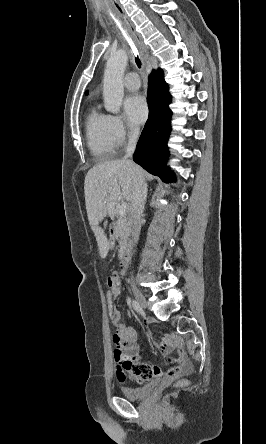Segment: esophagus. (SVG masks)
<instances>
[{
	"label": "esophagus",
	"mask_w": 266,
	"mask_h": 444,
	"mask_svg": "<svg viewBox=\"0 0 266 444\" xmlns=\"http://www.w3.org/2000/svg\"><path fill=\"white\" fill-rule=\"evenodd\" d=\"M115 9H116L117 13L119 14V16L122 18V20L124 21L129 33L131 34V36L135 40L136 44L138 45L140 52H141L142 60H143V66L145 67L147 74H149L151 71V65L148 60L146 48L142 42L140 35L135 31L134 25L130 21L129 17L126 15L123 8L119 4L115 3Z\"/></svg>",
	"instance_id": "1"
}]
</instances>
